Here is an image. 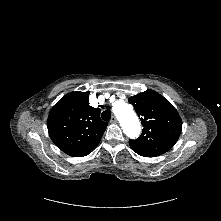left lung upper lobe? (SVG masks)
Returning a JSON list of instances; mask_svg holds the SVG:
<instances>
[{
    "label": "left lung upper lobe",
    "mask_w": 221,
    "mask_h": 221,
    "mask_svg": "<svg viewBox=\"0 0 221 221\" xmlns=\"http://www.w3.org/2000/svg\"><path fill=\"white\" fill-rule=\"evenodd\" d=\"M139 116L143 132L130 147L144 157L159 156L170 150L177 142L182 120L172 104L154 90H146L129 98Z\"/></svg>",
    "instance_id": "left-lung-upper-lobe-1"
}]
</instances>
